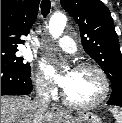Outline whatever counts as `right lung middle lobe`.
<instances>
[{
    "instance_id": "right-lung-middle-lobe-1",
    "label": "right lung middle lobe",
    "mask_w": 122,
    "mask_h": 123,
    "mask_svg": "<svg viewBox=\"0 0 122 123\" xmlns=\"http://www.w3.org/2000/svg\"><path fill=\"white\" fill-rule=\"evenodd\" d=\"M16 49H1V63L14 67L20 71L30 73V65L23 63V58L16 56Z\"/></svg>"
}]
</instances>
